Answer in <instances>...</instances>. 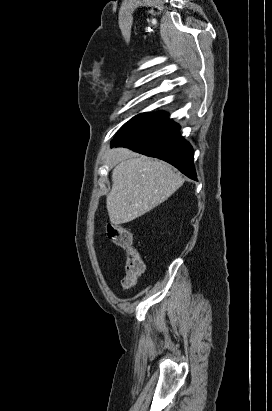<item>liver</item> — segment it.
<instances>
[{"label": "liver", "mask_w": 272, "mask_h": 411, "mask_svg": "<svg viewBox=\"0 0 272 411\" xmlns=\"http://www.w3.org/2000/svg\"><path fill=\"white\" fill-rule=\"evenodd\" d=\"M120 162L112 171V189L106 198L112 224L133 221L167 200L184 183L172 167L137 153L117 149Z\"/></svg>", "instance_id": "liver-1"}]
</instances>
